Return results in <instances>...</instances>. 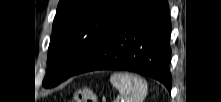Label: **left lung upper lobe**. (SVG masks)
<instances>
[{
    "label": "left lung upper lobe",
    "mask_w": 221,
    "mask_h": 102,
    "mask_svg": "<svg viewBox=\"0 0 221 102\" xmlns=\"http://www.w3.org/2000/svg\"><path fill=\"white\" fill-rule=\"evenodd\" d=\"M133 0H60L53 23L43 86L71 77Z\"/></svg>",
    "instance_id": "5c2ea615"
}]
</instances>
